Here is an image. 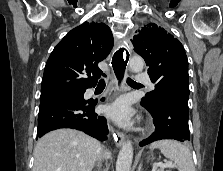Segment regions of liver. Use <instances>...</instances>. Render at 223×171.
Returning <instances> with one entry per match:
<instances>
[{"mask_svg": "<svg viewBox=\"0 0 223 171\" xmlns=\"http://www.w3.org/2000/svg\"><path fill=\"white\" fill-rule=\"evenodd\" d=\"M100 147L96 139L77 130L49 132L34 148L32 171H92ZM105 156L110 158V153Z\"/></svg>", "mask_w": 223, "mask_h": 171, "instance_id": "obj_1", "label": "liver"}]
</instances>
